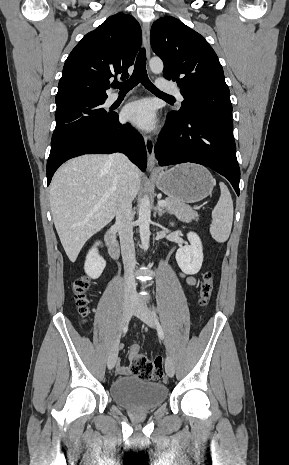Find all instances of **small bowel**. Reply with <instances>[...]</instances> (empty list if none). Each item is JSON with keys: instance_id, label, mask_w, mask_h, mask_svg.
Masks as SVG:
<instances>
[{"instance_id": "small-bowel-1", "label": "small bowel", "mask_w": 289, "mask_h": 465, "mask_svg": "<svg viewBox=\"0 0 289 465\" xmlns=\"http://www.w3.org/2000/svg\"><path fill=\"white\" fill-rule=\"evenodd\" d=\"M181 276L185 279L187 285H193L195 283V279L192 276H186L185 274H181ZM116 370L121 375H127L130 373V369L124 365L117 364Z\"/></svg>"}]
</instances>
